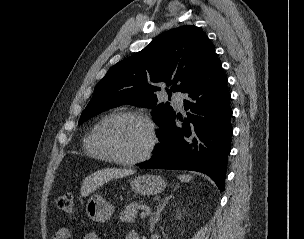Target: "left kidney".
Listing matches in <instances>:
<instances>
[{
	"label": "left kidney",
	"instance_id": "1",
	"mask_svg": "<svg viewBox=\"0 0 304 239\" xmlns=\"http://www.w3.org/2000/svg\"><path fill=\"white\" fill-rule=\"evenodd\" d=\"M177 218H178V219H181V213L177 215Z\"/></svg>",
	"mask_w": 304,
	"mask_h": 239
}]
</instances>
